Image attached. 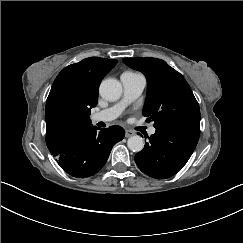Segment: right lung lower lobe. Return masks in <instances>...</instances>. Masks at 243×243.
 Segmentation results:
<instances>
[{
  "label": "right lung lower lobe",
  "instance_id": "obj_1",
  "mask_svg": "<svg viewBox=\"0 0 243 243\" xmlns=\"http://www.w3.org/2000/svg\"><path fill=\"white\" fill-rule=\"evenodd\" d=\"M89 125L72 132L49 147L59 166L69 175L85 178L97 173L106 163L112 147L125 136L120 126L100 129Z\"/></svg>",
  "mask_w": 243,
  "mask_h": 243
}]
</instances>
